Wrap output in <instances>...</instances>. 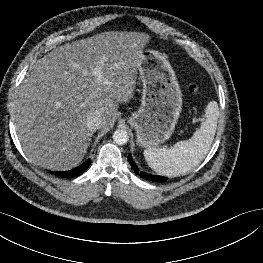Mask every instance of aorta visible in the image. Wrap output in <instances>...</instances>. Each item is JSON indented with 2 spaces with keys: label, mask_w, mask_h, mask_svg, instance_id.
<instances>
[{
  "label": "aorta",
  "mask_w": 263,
  "mask_h": 263,
  "mask_svg": "<svg viewBox=\"0 0 263 263\" xmlns=\"http://www.w3.org/2000/svg\"><path fill=\"white\" fill-rule=\"evenodd\" d=\"M113 140L118 145H124L128 142L129 136L126 130L124 129H117L113 133Z\"/></svg>",
  "instance_id": "aorta-1"
}]
</instances>
